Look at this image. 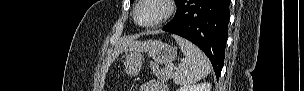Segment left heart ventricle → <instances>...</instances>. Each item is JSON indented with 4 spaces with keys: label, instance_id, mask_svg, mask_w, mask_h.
I'll return each instance as SVG.
<instances>
[{
    "label": "left heart ventricle",
    "instance_id": "1",
    "mask_svg": "<svg viewBox=\"0 0 304 91\" xmlns=\"http://www.w3.org/2000/svg\"><path fill=\"white\" fill-rule=\"evenodd\" d=\"M164 11V7L157 0L145 1L138 10V20L142 24H147L157 20Z\"/></svg>",
    "mask_w": 304,
    "mask_h": 91
}]
</instances>
